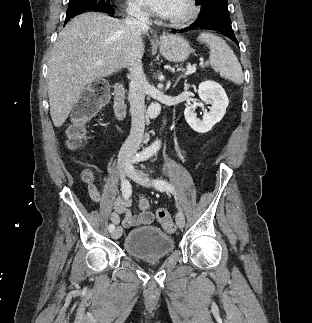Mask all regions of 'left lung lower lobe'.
Here are the masks:
<instances>
[{"instance_id": "1", "label": "left lung lower lobe", "mask_w": 312, "mask_h": 323, "mask_svg": "<svg viewBox=\"0 0 312 323\" xmlns=\"http://www.w3.org/2000/svg\"><path fill=\"white\" fill-rule=\"evenodd\" d=\"M196 28L217 31V32L221 33L222 35L232 39L233 41H235L238 44V41L234 35L230 20L219 19V21L207 22L202 25L191 24L189 27L179 30V32H184V31L196 29ZM173 32L175 33L177 31L173 30Z\"/></svg>"}]
</instances>
